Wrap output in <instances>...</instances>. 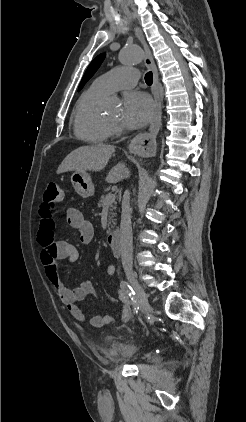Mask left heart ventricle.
<instances>
[{
    "label": "left heart ventricle",
    "instance_id": "obj_1",
    "mask_svg": "<svg viewBox=\"0 0 246 422\" xmlns=\"http://www.w3.org/2000/svg\"><path fill=\"white\" fill-rule=\"evenodd\" d=\"M109 119L114 121V120L117 119V116H111V117H109Z\"/></svg>",
    "mask_w": 246,
    "mask_h": 422
}]
</instances>
